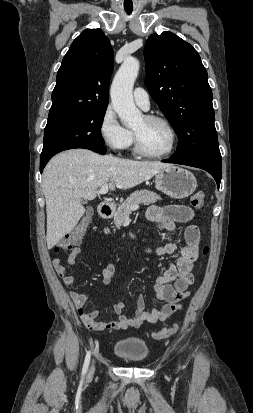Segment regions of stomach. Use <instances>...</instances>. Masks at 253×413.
<instances>
[{"instance_id": "0dacf381", "label": "stomach", "mask_w": 253, "mask_h": 413, "mask_svg": "<svg viewBox=\"0 0 253 413\" xmlns=\"http://www.w3.org/2000/svg\"><path fill=\"white\" fill-rule=\"evenodd\" d=\"M155 184L159 191L175 199L187 198L197 187L195 176L178 166H171L157 173Z\"/></svg>"}]
</instances>
